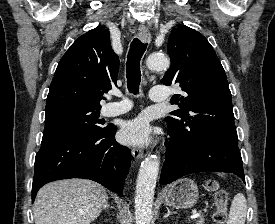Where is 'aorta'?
<instances>
[{
  "mask_svg": "<svg viewBox=\"0 0 275 224\" xmlns=\"http://www.w3.org/2000/svg\"><path fill=\"white\" fill-rule=\"evenodd\" d=\"M150 70L161 71L169 67V60L161 54H150L147 58ZM160 160L157 155H149L142 162L135 191L136 224H151L153 217L154 189L159 172Z\"/></svg>",
  "mask_w": 275,
  "mask_h": 224,
  "instance_id": "obj_1",
  "label": "aorta"
}]
</instances>
